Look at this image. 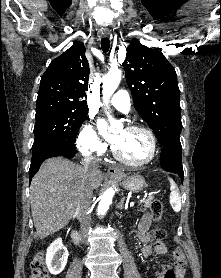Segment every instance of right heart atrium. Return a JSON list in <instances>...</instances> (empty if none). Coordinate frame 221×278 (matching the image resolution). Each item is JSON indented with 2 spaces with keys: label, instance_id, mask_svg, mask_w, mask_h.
<instances>
[{
  "label": "right heart atrium",
  "instance_id": "1",
  "mask_svg": "<svg viewBox=\"0 0 221 278\" xmlns=\"http://www.w3.org/2000/svg\"><path fill=\"white\" fill-rule=\"evenodd\" d=\"M77 146L82 154L90 157L101 155L106 148L105 143L99 138V134L91 121L86 123L81 129L77 138Z\"/></svg>",
  "mask_w": 221,
  "mask_h": 278
}]
</instances>
